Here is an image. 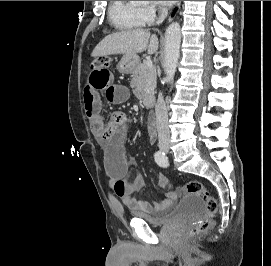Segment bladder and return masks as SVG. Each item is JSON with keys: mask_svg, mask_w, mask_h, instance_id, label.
Masks as SVG:
<instances>
[{"mask_svg": "<svg viewBox=\"0 0 271 266\" xmlns=\"http://www.w3.org/2000/svg\"><path fill=\"white\" fill-rule=\"evenodd\" d=\"M205 207L204 200L197 194H187L176 206L160 216H150L135 212L133 217L141 219L153 226H164L200 213Z\"/></svg>", "mask_w": 271, "mask_h": 266, "instance_id": "1", "label": "bladder"}]
</instances>
